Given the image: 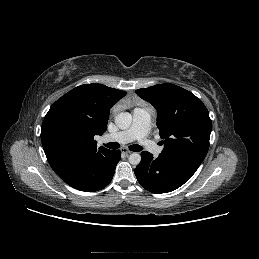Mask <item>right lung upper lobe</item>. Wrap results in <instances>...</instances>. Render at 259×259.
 <instances>
[{"label": "right lung upper lobe", "instance_id": "obj_1", "mask_svg": "<svg viewBox=\"0 0 259 259\" xmlns=\"http://www.w3.org/2000/svg\"><path fill=\"white\" fill-rule=\"evenodd\" d=\"M125 91L102 84L80 85L58 99L46 114L41 141L52 169L60 174L72 164L102 155L95 135L107 129L111 107Z\"/></svg>", "mask_w": 259, "mask_h": 259}]
</instances>
